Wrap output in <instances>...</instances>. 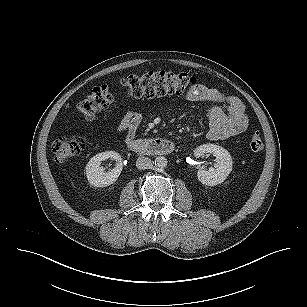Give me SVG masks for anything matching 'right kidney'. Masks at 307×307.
<instances>
[{
    "instance_id": "right-kidney-1",
    "label": "right kidney",
    "mask_w": 307,
    "mask_h": 307,
    "mask_svg": "<svg viewBox=\"0 0 307 307\" xmlns=\"http://www.w3.org/2000/svg\"><path fill=\"white\" fill-rule=\"evenodd\" d=\"M114 159L118 164L110 172H104L100 166L102 161ZM86 176L89 183L95 187H106L113 184L119 177L122 171L121 156L114 151H106L93 156L86 165Z\"/></svg>"
}]
</instances>
